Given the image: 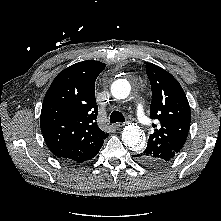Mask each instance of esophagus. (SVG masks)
<instances>
[{
    "label": "esophagus",
    "mask_w": 221,
    "mask_h": 221,
    "mask_svg": "<svg viewBox=\"0 0 221 221\" xmlns=\"http://www.w3.org/2000/svg\"><path fill=\"white\" fill-rule=\"evenodd\" d=\"M125 124L124 123H116L114 126L116 127V128H121V127H123Z\"/></svg>",
    "instance_id": "esophagus-1"
}]
</instances>
